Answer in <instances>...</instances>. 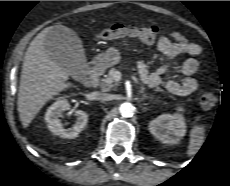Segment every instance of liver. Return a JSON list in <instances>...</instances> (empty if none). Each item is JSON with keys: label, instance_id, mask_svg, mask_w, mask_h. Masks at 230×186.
Listing matches in <instances>:
<instances>
[{"label": "liver", "instance_id": "liver-1", "mask_svg": "<svg viewBox=\"0 0 230 186\" xmlns=\"http://www.w3.org/2000/svg\"><path fill=\"white\" fill-rule=\"evenodd\" d=\"M53 27L42 30L25 53L17 104L24 128L29 126L47 101L71 86L66 83L69 78L67 70L52 60L45 50V36Z\"/></svg>", "mask_w": 230, "mask_h": 186}]
</instances>
